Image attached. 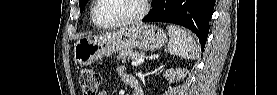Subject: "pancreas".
Wrapping results in <instances>:
<instances>
[{
    "label": "pancreas",
    "instance_id": "pancreas-1",
    "mask_svg": "<svg viewBox=\"0 0 277 95\" xmlns=\"http://www.w3.org/2000/svg\"><path fill=\"white\" fill-rule=\"evenodd\" d=\"M142 55H143V52H137L135 50L128 49V50H125V51L121 52L117 56V59L121 60L124 63V62H127L129 60H134V59H136V58H138Z\"/></svg>",
    "mask_w": 277,
    "mask_h": 95
}]
</instances>
